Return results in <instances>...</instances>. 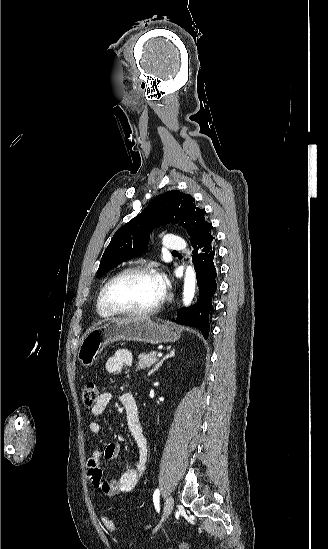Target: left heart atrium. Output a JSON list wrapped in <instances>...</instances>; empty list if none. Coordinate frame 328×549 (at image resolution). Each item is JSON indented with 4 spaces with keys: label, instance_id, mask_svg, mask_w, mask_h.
<instances>
[{
    "label": "left heart atrium",
    "instance_id": "39dd6f15",
    "mask_svg": "<svg viewBox=\"0 0 328 549\" xmlns=\"http://www.w3.org/2000/svg\"><path fill=\"white\" fill-rule=\"evenodd\" d=\"M158 277H159L161 289L164 293L169 285L168 279L164 274H159Z\"/></svg>",
    "mask_w": 328,
    "mask_h": 549
}]
</instances>
